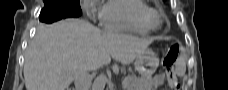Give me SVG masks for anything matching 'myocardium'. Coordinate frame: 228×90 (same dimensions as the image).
Wrapping results in <instances>:
<instances>
[{"mask_svg": "<svg viewBox=\"0 0 228 90\" xmlns=\"http://www.w3.org/2000/svg\"><path fill=\"white\" fill-rule=\"evenodd\" d=\"M145 20L150 29H157L160 28L162 25L159 13L153 8H150L146 12Z\"/></svg>", "mask_w": 228, "mask_h": 90, "instance_id": "obj_1", "label": "myocardium"}]
</instances>
